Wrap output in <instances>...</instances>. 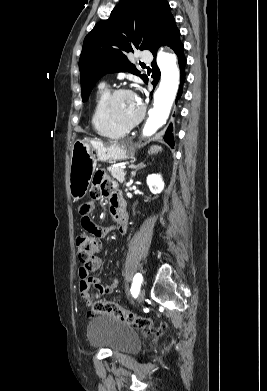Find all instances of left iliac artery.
Wrapping results in <instances>:
<instances>
[{"instance_id": "obj_1", "label": "left iliac artery", "mask_w": 267, "mask_h": 391, "mask_svg": "<svg viewBox=\"0 0 267 391\" xmlns=\"http://www.w3.org/2000/svg\"><path fill=\"white\" fill-rule=\"evenodd\" d=\"M142 275L140 273L136 274L133 279V284L131 287V293H138L141 283H142Z\"/></svg>"}]
</instances>
